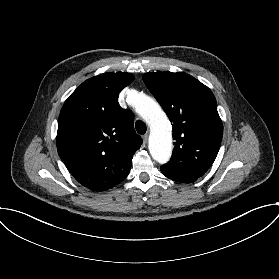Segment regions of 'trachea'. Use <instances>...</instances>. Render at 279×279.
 I'll use <instances>...</instances> for the list:
<instances>
[{"instance_id": "obj_1", "label": "trachea", "mask_w": 279, "mask_h": 279, "mask_svg": "<svg viewBox=\"0 0 279 279\" xmlns=\"http://www.w3.org/2000/svg\"><path fill=\"white\" fill-rule=\"evenodd\" d=\"M136 130L139 134H144L146 132V125L143 121L138 120L135 124Z\"/></svg>"}]
</instances>
